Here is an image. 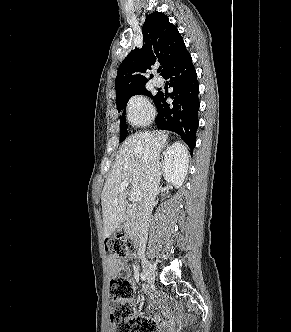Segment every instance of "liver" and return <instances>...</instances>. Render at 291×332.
I'll return each mask as SVG.
<instances>
[{"mask_svg":"<svg viewBox=\"0 0 291 332\" xmlns=\"http://www.w3.org/2000/svg\"><path fill=\"white\" fill-rule=\"evenodd\" d=\"M167 139L168 134L165 132L135 133L121 145L101 194L104 238L109 237L125 219L127 192L126 189L120 190L121 183L127 181L132 191L142 193L148 150L154 147L160 153L166 146ZM182 147L188 158L187 148ZM162 170L164 171L163 168Z\"/></svg>","mask_w":291,"mask_h":332,"instance_id":"obj_1","label":"liver"}]
</instances>
